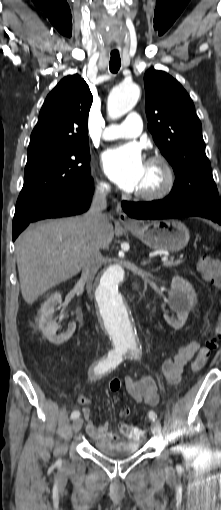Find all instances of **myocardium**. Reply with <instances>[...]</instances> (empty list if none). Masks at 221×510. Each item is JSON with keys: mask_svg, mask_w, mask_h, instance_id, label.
<instances>
[{"mask_svg": "<svg viewBox=\"0 0 221 510\" xmlns=\"http://www.w3.org/2000/svg\"><path fill=\"white\" fill-rule=\"evenodd\" d=\"M146 163L156 164L162 169L163 182L161 186L154 191H136L134 194L135 197L144 201H155L165 198L171 193L175 184V174L170 162L163 155L156 154L150 156Z\"/></svg>", "mask_w": 221, "mask_h": 510, "instance_id": "obj_1", "label": "myocardium"}]
</instances>
